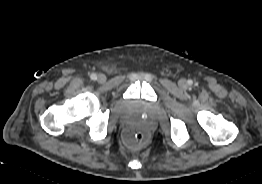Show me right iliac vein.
I'll use <instances>...</instances> for the list:
<instances>
[{"mask_svg": "<svg viewBox=\"0 0 262 184\" xmlns=\"http://www.w3.org/2000/svg\"><path fill=\"white\" fill-rule=\"evenodd\" d=\"M99 83H104L106 81V76L104 74H99L97 77Z\"/></svg>", "mask_w": 262, "mask_h": 184, "instance_id": "1", "label": "right iliac vein"}]
</instances>
